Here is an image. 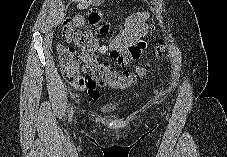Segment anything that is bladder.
<instances>
[{
  "label": "bladder",
  "instance_id": "obj_1",
  "mask_svg": "<svg viewBox=\"0 0 227 157\" xmlns=\"http://www.w3.org/2000/svg\"><path fill=\"white\" fill-rule=\"evenodd\" d=\"M115 109L112 107H108L105 109L106 112H113Z\"/></svg>",
  "mask_w": 227,
  "mask_h": 157
}]
</instances>
